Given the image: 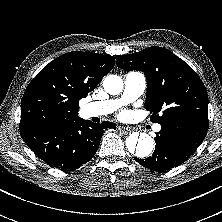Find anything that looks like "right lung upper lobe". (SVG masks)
Masks as SVG:
<instances>
[{"label": "right lung upper lobe", "mask_w": 222, "mask_h": 222, "mask_svg": "<svg viewBox=\"0 0 222 222\" xmlns=\"http://www.w3.org/2000/svg\"><path fill=\"white\" fill-rule=\"evenodd\" d=\"M114 63L113 56L72 51L47 64L24 92L20 131L80 120L79 100L95 89Z\"/></svg>", "instance_id": "1"}]
</instances>
